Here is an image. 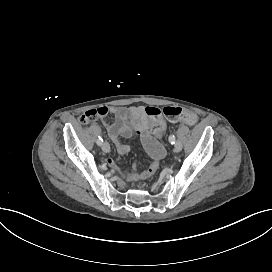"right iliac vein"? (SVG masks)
<instances>
[{"label":"right iliac vein","instance_id":"right-iliac-vein-1","mask_svg":"<svg viewBox=\"0 0 272 272\" xmlns=\"http://www.w3.org/2000/svg\"><path fill=\"white\" fill-rule=\"evenodd\" d=\"M101 148H102V150H103L104 152H106V153L110 151V145H109L108 142H103V143L101 144Z\"/></svg>","mask_w":272,"mask_h":272}]
</instances>
